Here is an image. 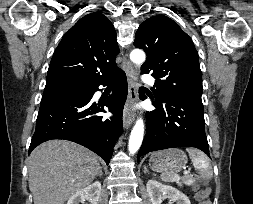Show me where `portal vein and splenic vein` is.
<instances>
[{
    "instance_id": "1",
    "label": "portal vein and splenic vein",
    "mask_w": 253,
    "mask_h": 204,
    "mask_svg": "<svg viewBox=\"0 0 253 204\" xmlns=\"http://www.w3.org/2000/svg\"><path fill=\"white\" fill-rule=\"evenodd\" d=\"M189 173H190L189 170H185V171H184V174H185V175H188Z\"/></svg>"
}]
</instances>
